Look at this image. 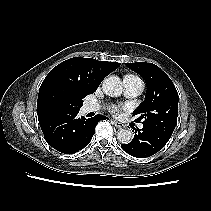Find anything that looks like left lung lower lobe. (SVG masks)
Listing matches in <instances>:
<instances>
[{
    "mask_svg": "<svg viewBox=\"0 0 211 211\" xmlns=\"http://www.w3.org/2000/svg\"><path fill=\"white\" fill-rule=\"evenodd\" d=\"M135 133L133 140L128 144H121V147L126 153L137 158L154 155L169 141V138L145 127L136 129Z\"/></svg>",
    "mask_w": 211,
    "mask_h": 211,
    "instance_id": "obj_1",
    "label": "left lung lower lobe"
}]
</instances>
